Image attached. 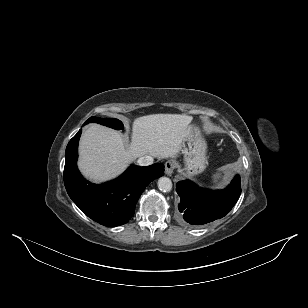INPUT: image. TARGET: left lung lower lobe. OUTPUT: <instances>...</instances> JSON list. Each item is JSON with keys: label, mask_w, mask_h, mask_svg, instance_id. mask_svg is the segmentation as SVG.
Wrapping results in <instances>:
<instances>
[{"label": "left lung lower lobe", "mask_w": 308, "mask_h": 308, "mask_svg": "<svg viewBox=\"0 0 308 308\" xmlns=\"http://www.w3.org/2000/svg\"><path fill=\"white\" fill-rule=\"evenodd\" d=\"M240 184L238 175L228 187L218 191L200 189L187 180L178 182L180 215L191 225H203L224 217L239 199Z\"/></svg>", "instance_id": "1"}]
</instances>
